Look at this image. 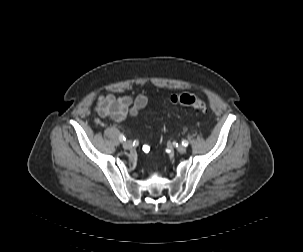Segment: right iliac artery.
<instances>
[{"mask_svg":"<svg viewBox=\"0 0 303 252\" xmlns=\"http://www.w3.org/2000/svg\"><path fill=\"white\" fill-rule=\"evenodd\" d=\"M119 140L121 141V142H124L126 139H125V136L123 135V134H121L120 136H119Z\"/></svg>","mask_w":303,"mask_h":252,"instance_id":"82829eb1","label":"right iliac artery"}]
</instances>
